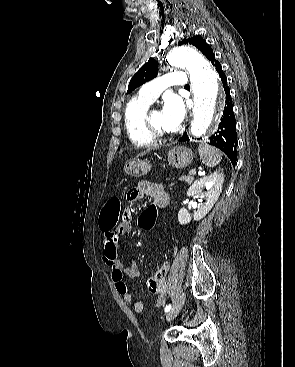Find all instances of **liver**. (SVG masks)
<instances>
[{
  "mask_svg": "<svg viewBox=\"0 0 295 367\" xmlns=\"http://www.w3.org/2000/svg\"><path fill=\"white\" fill-rule=\"evenodd\" d=\"M149 151H150V149H148L147 151L141 152L138 156H143V155H145Z\"/></svg>",
  "mask_w": 295,
  "mask_h": 367,
  "instance_id": "1",
  "label": "liver"
}]
</instances>
